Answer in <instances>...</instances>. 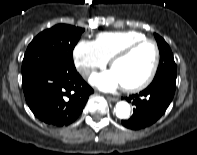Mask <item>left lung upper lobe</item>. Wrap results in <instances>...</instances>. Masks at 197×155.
<instances>
[{
    "label": "left lung upper lobe",
    "instance_id": "obj_1",
    "mask_svg": "<svg viewBox=\"0 0 197 155\" xmlns=\"http://www.w3.org/2000/svg\"><path fill=\"white\" fill-rule=\"evenodd\" d=\"M159 52H160V63L155 75L154 80H170L176 82L177 67L173 58L172 51L165 40L158 34H154Z\"/></svg>",
    "mask_w": 197,
    "mask_h": 155
}]
</instances>
